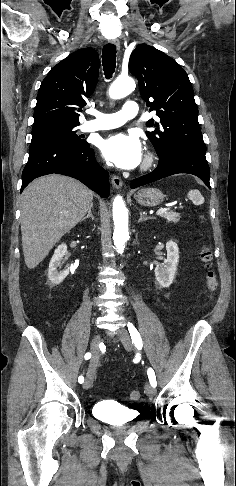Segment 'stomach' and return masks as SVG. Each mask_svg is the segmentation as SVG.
Here are the masks:
<instances>
[{
  "mask_svg": "<svg viewBox=\"0 0 236 486\" xmlns=\"http://www.w3.org/2000/svg\"><path fill=\"white\" fill-rule=\"evenodd\" d=\"M164 194L156 188H143L135 193V200L143 206L154 207L161 204L164 200Z\"/></svg>",
  "mask_w": 236,
  "mask_h": 486,
  "instance_id": "0dacf381",
  "label": "stomach"
}]
</instances>
